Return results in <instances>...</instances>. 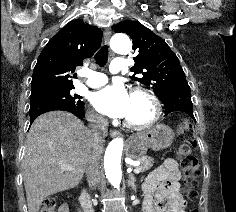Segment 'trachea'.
<instances>
[{"mask_svg":"<svg viewBox=\"0 0 236 212\" xmlns=\"http://www.w3.org/2000/svg\"><path fill=\"white\" fill-rule=\"evenodd\" d=\"M94 59L100 67L105 66L108 61V47L106 45L102 46L95 54Z\"/></svg>","mask_w":236,"mask_h":212,"instance_id":"1","label":"trachea"}]
</instances>
